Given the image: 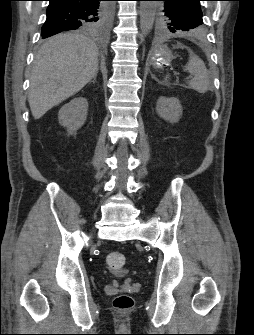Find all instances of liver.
Masks as SVG:
<instances>
[{
	"mask_svg": "<svg viewBox=\"0 0 254 335\" xmlns=\"http://www.w3.org/2000/svg\"><path fill=\"white\" fill-rule=\"evenodd\" d=\"M98 72V47L81 34L50 38L39 49L28 96L34 119L79 92Z\"/></svg>",
	"mask_w": 254,
	"mask_h": 335,
	"instance_id": "1",
	"label": "liver"
}]
</instances>
